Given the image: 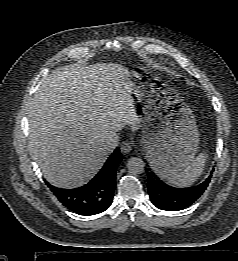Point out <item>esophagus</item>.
<instances>
[{
    "mask_svg": "<svg viewBox=\"0 0 238 261\" xmlns=\"http://www.w3.org/2000/svg\"><path fill=\"white\" fill-rule=\"evenodd\" d=\"M133 148V145L131 142L129 141H124L122 142V144L120 145V150L122 154H128L131 152Z\"/></svg>",
    "mask_w": 238,
    "mask_h": 261,
    "instance_id": "esophagus-1",
    "label": "esophagus"
}]
</instances>
